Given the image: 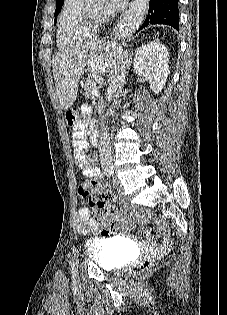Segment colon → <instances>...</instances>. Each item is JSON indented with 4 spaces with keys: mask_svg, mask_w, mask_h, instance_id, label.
<instances>
[{
    "mask_svg": "<svg viewBox=\"0 0 227 315\" xmlns=\"http://www.w3.org/2000/svg\"><path fill=\"white\" fill-rule=\"evenodd\" d=\"M77 112L73 109L67 110L65 113V120L69 127L77 124ZM79 194L88 201L89 206L94 210L95 216L99 219V226H103L101 230L102 236H109L112 234L116 226L111 223V215L113 208L111 206L112 195L109 191L99 187L88 190L85 185L79 187ZM153 265L150 258L140 260L133 268V276L135 278L141 277L148 272Z\"/></svg>",
    "mask_w": 227,
    "mask_h": 315,
    "instance_id": "1",
    "label": "colon"
}]
</instances>
